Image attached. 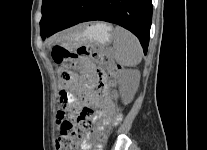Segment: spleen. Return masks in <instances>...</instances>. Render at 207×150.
<instances>
[{
  "label": "spleen",
  "instance_id": "1",
  "mask_svg": "<svg viewBox=\"0 0 207 150\" xmlns=\"http://www.w3.org/2000/svg\"><path fill=\"white\" fill-rule=\"evenodd\" d=\"M113 36L116 62L122 66H137L142 60V48L139 40L120 26L115 27Z\"/></svg>",
  "mask_w": 207,
  "mask_h": 150
}]
</instances>
